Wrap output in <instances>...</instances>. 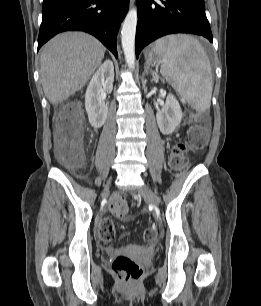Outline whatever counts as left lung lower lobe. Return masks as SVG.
<instances>
[{"label":"left lung lower lobe","mask_w":261,"mask_h":306,"mask_svg":"<svg viewBox=\"0 0 261 306\" xmlns=\"http://www.w3.org/2000/svg\"><path fill=\"white\" fill-rule=\"evenodd\" d=\"M137 0L136 57L152 41L173 33L201 35L213 42L204 0Z\"/></svg>","instance_id":"obj_1"}]
</instances>
